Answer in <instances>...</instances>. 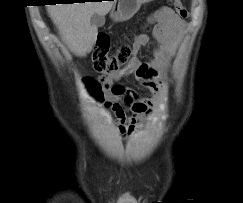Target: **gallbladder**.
<instances>
[{
  "mask_svg": "<svg viewBox=\"0 0 243 203\" xmlns=\"http://www.w3.org/2000/svg\"><path fill=\"white\" fill-rule=\"evenodd\" d=\"M91 24L96 27H102L105 24V17L94 13L91 17Z\"/></svg>",
  "mask_w": 243,
  "mask_h": 203,
  "instance_id": "gallbladder-1",
  "label": "gallbladder"
}]
</instances>
